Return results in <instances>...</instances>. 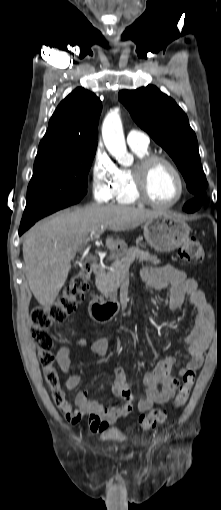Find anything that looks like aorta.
<instances>
[{
    "label": "aorta",
    "instance_id": "aorta-1",
    "mask_svg": "<svg viewBox=\"0 0 221 510\" xmlns=\"http://www.w3.org/2000/svg\"><path fill=\"white\" fill-rule=\"evenodd\" d=\"M102 138L108 152L114 156L120 164L130 165L132 157L128 154L122 121L117 110L105 117L102 124Z\"/></svg>",
    "mask_w": 221,
    "mask_h": 510
}]
</instances>
